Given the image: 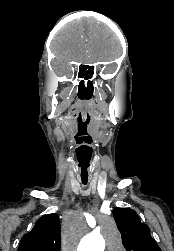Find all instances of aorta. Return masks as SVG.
Wrapping results in <instances>:
<instances>
[{
  "label": "aorta",
  "instance_id": "obj_1",
  "mask_svg": "<svg viewBox=\"0 0 174 251\" xmlns=\"http://www.w3.org/2000/svg\"><path fill=\"white\" fill-rule=\"evenodd\" d=\"M104 235L105 238L94 234L86 235L78 245L77 251H104L105 246L115 251L120 250L121 238L115 226L105 231Z\"/></svg>",
  "mask_w": 174,
  "mask_h": 251
}]
</instances>
